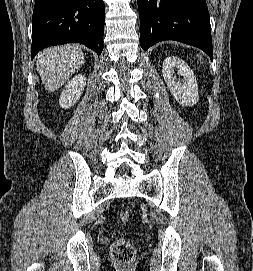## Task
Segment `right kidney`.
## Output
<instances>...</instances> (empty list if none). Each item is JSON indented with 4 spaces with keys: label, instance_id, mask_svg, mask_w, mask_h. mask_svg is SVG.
<instances>
[{
    "label": "right kidney",
    "instance_id": "ca27d5eb",
    "mask_svg": "<svg viewBox=\"0 0 253 271\" xmlns=\"http://www.w3.org/2000/svg\"><path fill=\"white\" fill-rule=\"evenodd\" d=\"M85 85L86 77L84 75H77L69 81L60 95V106L64 109H68L74 105L80 99Z\"/></svg>",
    "mask_w": 253,
    "mask_h": 271
}]
</instances>
